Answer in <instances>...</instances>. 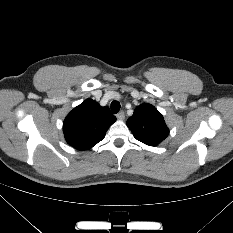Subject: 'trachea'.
Returning a JSON list of instances; mask_svg holds the SVG:
<instances>
[{
    "label": "trachea",
    "mask_w": 233,
    "mask_h": 233,
    "mask_svg": "<svg viewBox=\"0 0 233 233\" xmlns=\"http://www.w3.org/2000/svg\"><path fill=\"white\" fill-rule=\"evenodd\" d=\"M111 110L114 114L118 113L120 110V103L118 101H113L111 103Z\"/></svg>",
    "instance_id": "3493384b"
}]
</instances>
